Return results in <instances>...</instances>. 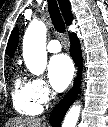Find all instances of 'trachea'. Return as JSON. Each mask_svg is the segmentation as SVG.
Returning a JSON list of instances; mask_svg holds the SVG:
<instances>
[{
  "label": "trachea",
  "instance_id": "3493384b",
  "mask_svg": "<svg viewBox=\"0 0 108 127\" xmlns=\"http://www.w3.org/2000/svg\"><path fill=\"white\" fill-rule=\"evenodd\" d=\"M48 10L54 28L57 32L64 34L66 32V27L56 0H48Z\"/></svg>",
  "mask_w": 108,
  "mask_h": 127
}]
</instances>
